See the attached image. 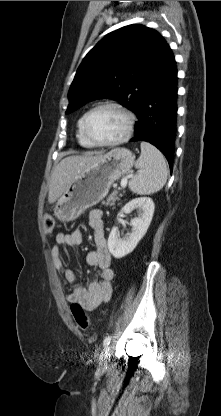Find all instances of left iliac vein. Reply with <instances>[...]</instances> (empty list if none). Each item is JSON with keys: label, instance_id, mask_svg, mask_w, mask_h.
<instances>
[{"label": "left iliac vein", "instance_id": "1", "mask_svg": "<svg viewBox=\"0 0 221 416\" xmlns=\"http://www.w3.org/2000/svg\"><path fill=\"white\" fill-rule=\"evenodd\" d=\"M109 350H110L109 347H105L104 354L102 355L101 361H100L101 366L105 365V362H106L105 358H106V355L108 354Z\"/></svg>", "mask_w": 221, "mask_h": 416}]
</instances>
